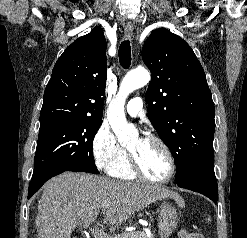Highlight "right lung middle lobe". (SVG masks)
Instances as JSON below:
<instances>
[{
	"instance_id": "1",
	"label": "right lung middle lobe",
	"mask_w": 247,
	"mask_h": 238,
	"mask_svg": "<svg viewBox=\"0 0 247 238\" xmlns=\"http://www.w3.org/2000/svg\"><path fill=\"white\" fill-rule=\"evenodd\" d=\"M101 123L102 120L84 119L41 125L30 184L56 169L98 173L92 146Z\"/></svg>"
}]
</instances>
